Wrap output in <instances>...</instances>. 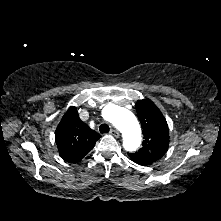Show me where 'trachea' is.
<instances>
[{
	"label": "trachea",
	"instance_id": "1",
	"mask_svg": "<svg viewBox=\"0 0 221 221\" xmlns=\"http://www.w3.org/2000/svg\"><path fill=\"white\" fill-rule=\"evenodd\" d=\"M109 130H110V128H109V126H108L107 124H101V125L99 126V131H100L101 133H108Z\"/></svg>",
	"mask_w": 221,
	"mask_h": 221
}]
</instances>
